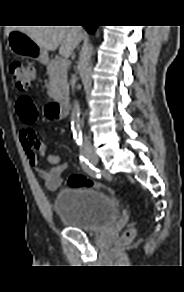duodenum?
Instances as JSON below:
<instances>
[{
	"mask_svg": "<svg viewBox=\"0 0 184 292\" xmlns=\"http://www.w3.org/2000/svg\"><path fill=\"white\" fill-rule=\"evenodd\" d=\"M67 112L68 104L65 99L53 101L47 107V113L53 119L61 118L65 116Z\"/></svg>",
	"mask_w": 184,
	"mask_h": 292,
	"instance_id": "obj_1",
	"label": "duodenum"
}]
</instances>
